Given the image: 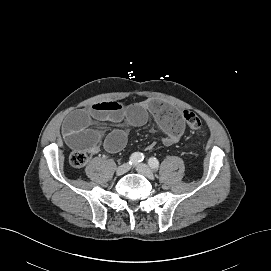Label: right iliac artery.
Instances as JSON below:
<instances>
[{
  "label": "right iliac artery",
  "mask_w": 271,
  "mask_h": 271,
  "mask_svg": "<svg viewBox=\"0 0 271 271\" xmlns=\"http://www.w3.org/2000/svg\"><path fill=\"white\" fill-rule=\"evenodd\" d=\"M144 160V155L140 152L133 153L129 158V164L130 165H136L139 162Z\"/></svg>",
  "instance_id": "1"
}]
</instances>
